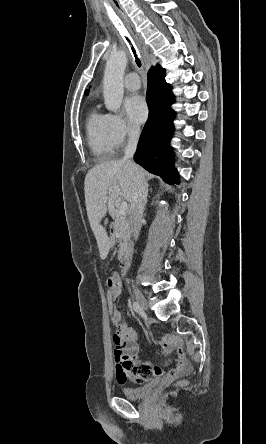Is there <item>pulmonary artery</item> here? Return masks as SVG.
Returning <instances> with one entry per match:
<instances>
[{
  "label": "pulmonary artery",
  "mask_w": 266,
  "mask_h": 444,
  "mask_svg": "<svg viewBox=\"0 0 266 444\" xmlns=\"http://www.w3.org/2000/svg\"><path fill=\"white\" fill-rule=\"evenodd\" d=\"M124 85L126 88L130 90H137L140 88V80L136 73L132 72L125 76L124 78Z\"/></svg>",
  "instance_id": "e3ab8cb5"
}]
</instances>
